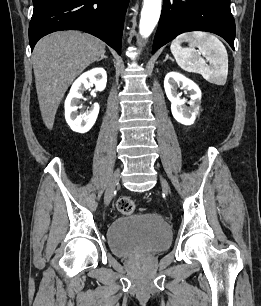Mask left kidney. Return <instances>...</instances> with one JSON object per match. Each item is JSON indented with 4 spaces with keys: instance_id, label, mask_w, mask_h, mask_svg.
I'll return each mask as SVG.
<instances>
[{
    "instance_id": "5707ae66",
    "label": "left kidney",
    "mask_w": 261,
    "mask_h": 306,
    "mask_svg": "<svg viewBox=\"0 0 261 306\" xmlns=\"http://www.w3.org/2000/svg\"><path fill=\"white\" fill-rule=\"evenodd\" d=\"M180 85L191 94L189 108L184 106L185 100L180 99L177 92ZM164 89L171 102V112L175 120L183 125H192L200 113L201 90L198 85L179 73L170 72L165 77Z\"/></svg>"
}]
</instances>
